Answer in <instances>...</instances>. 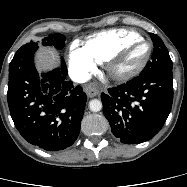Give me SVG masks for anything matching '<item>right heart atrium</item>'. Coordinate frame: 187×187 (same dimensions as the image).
Returning <instances> with one entry per match:
<instances>
[{"label": "right heart atrium", "instance_id": "1", "mask_svg": "<svg viewBox=\"0 0 187 187\" xmlns=\"http://www.w3.org/2000/svg\"><path fill=\"white\" fill-rule=\"evenodd\" d=\"M68 57L73 74L81 80L87 79L96 69L95 59L77 41L71 44Z\"/></svg>", "mask_w": 187, "mask_h": 187}]
</instances>
